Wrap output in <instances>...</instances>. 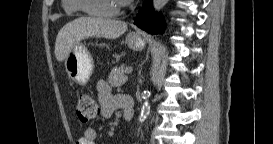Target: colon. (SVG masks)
Segmentation results:
<instances>
[{"mask_svg":"<svg viewBox=\"0 0 273 144\" xmlns=\"http://www.w3.org/2000/svg\"><path fill=\"white\" fill-rule=\"evenodd\" d=\"M99 112L96 100L89 94H81L77 100L76 114L81 123L94 119Z\"/></svg>","mask_w":273,"mask_h":144,"instance_id":"colon-1","label":"colon"}]
</instances>
